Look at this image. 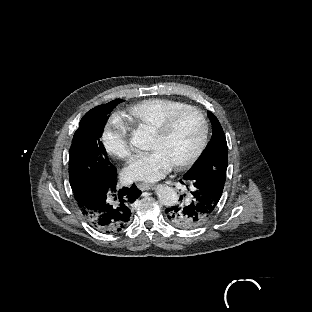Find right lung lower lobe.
I'll return each instance as SVG.
<instances>
[{
	"label": "right lung lower lobe",
	"instance_id": "obj_1",
	"mask_svg": "<svg viewBox=\"0 0 312 312\" xmlns=\"http://www.w3.org/2000/svg\"><path fill=\"white\" fill-rule=\"evenodd\" d=\"M116 184V176L106 178L89 187H82L74 194L88 223L105 234H118L127 227L131 204L141 194L135 185L117 190Z\"/></svg>",
	"mask_w": 312,
	"mask_h": 312
}]
</instances>
